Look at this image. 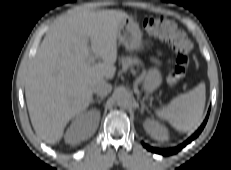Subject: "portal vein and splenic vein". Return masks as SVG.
<instances>
[{"label": "portal vein and splenic vein", "instance_id": "18ae733b", "mask_svg": "<svg viewBox=\"0 0 231 170\" xmlns=\"http://www.w3.org/2000/svg\"><path fill=\"white\" fill-rule=\"evenodd\" d=\"M94 60H95V59H94L93 57H89V58H88V62H89V63H93Z\"/></svg>", "mask_w": 231, "mask_h": 170}]
</instances>
